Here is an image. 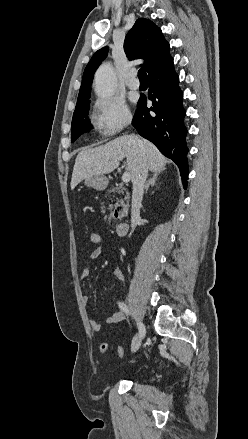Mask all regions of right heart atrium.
I'll list each match as a JSON object with an SVG mask.
<instances>
[{
    "label": "right heart atrium",
    "instance_id": "right-heart-atrium-1",
    "mask_svg": "<svg viewBox=\"0 0 248 439\" xmlns=\"http://www.w3.org/2000/svg\"><path fill=\"white\" fill-rule=\"evenodd\" d=\"M92 119L101 135L113 136L130 124L132 114L121 98H99L93 105Z\"/></svg>",
    "mask_w": 248,
    "mask_h": 439
}]
</instances>
